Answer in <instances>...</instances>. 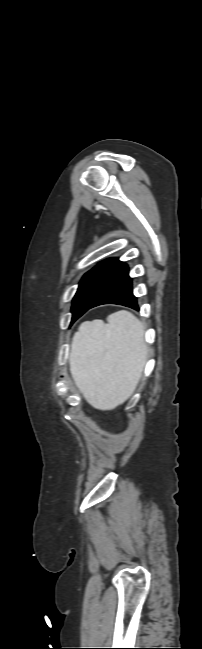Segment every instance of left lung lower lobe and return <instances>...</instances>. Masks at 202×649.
Instances as JSON below:
<instances>
[{
  "instance_id": "0a47b994",
  "label": "left lung lower lobe",
  "mask_w": 202,
  "mask_h": 649,
  "mask_svg": "<svg viewBox=\"0 0 202 649\" xmlns=\"http://www.w3.org/2000/svg\"><path fill=\"white\" fill-rule=\"evenodd\" d=\"M128 271V265L124 263L99 295L86 306L85 312L103 304H119L138 311V302L133 295L132 279Z\"/></svg>"
}]
</instances>
